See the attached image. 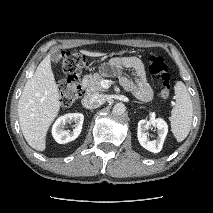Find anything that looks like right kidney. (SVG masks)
Returning <instances> with one entry per match:
<instances>
[{
    "mask_svg": "<svg viewBox=\"0 0 213 213\" xmlns=\"http://www.w3.org/2000/svg\"><path fill=\"white\" fill-rule=\"evenodd\" d=\"M84 115L81 113H70L61 116L56 120L52 127V135L59 144H65L75 140L82 130ZM74 123L75 128L72 132L65 130L67 123Z\"/></svg>",
    "mask_w": 213,
    "mask_h": 213,
    "instance_id": "ca27d5eb",
    "label": "right kidney"
}]
</instances>
